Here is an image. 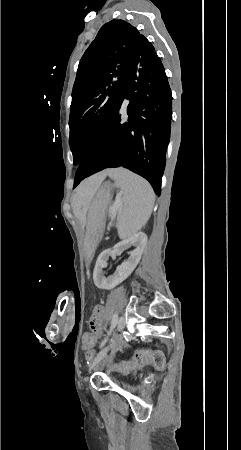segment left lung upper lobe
<instances>
[{
	"instance_id": "1",
	"label": "left lung upper lobe",
	"mask_w": 241,
	"mask_h": 450,
	"mask_svg": "<svg viewBox=\"0 0 241 450\" xmlns=\"http://www.w3.org/2000/svg\"><path fill=\"white\" fill-rule=\"evenodd\" d=\"M151 43L123 20L104 24L83 54L72 91L69 119L74 164L80 163L101 125L122 97L130 61ZM117 78V81H113Z\"/></svg>"
}]
</instances>
